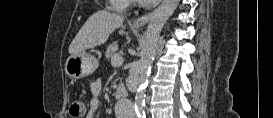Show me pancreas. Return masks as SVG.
<instances>
[{"mask_svg": "<svg viewBox=\"0 0 273 118\" xmlns=\"http://www.w3.org/2000/svg\"><path fill=\"white\" fill-rule=\"evenodd\" d=\"M118 50V44L116 42H113L107 47V50L105 52L106 58H112Z\"/></svg>", "mask_w": 273, "mask_h": 118, "instance_id": "1", "label": "pancreas"}]
</instances>
